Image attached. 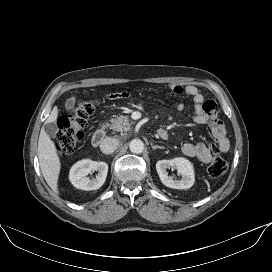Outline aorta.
Segmentation results:
<instances>
[{
    "label": "aorta",
    "mask_w": 272,
    "mask_h": 272,
    "mask_svg": "<svg viewBox=\"0 0 272 272\" xmlns=\"http://www.w3.org/2000/svg\"><path fill=\"white\" fill-rule=\"evenodd\" d=\"M132 153L141 154L144 150V143L140 139H133L129 144Z\"/></svg>",
    "instance_id": "1"
}]
</instances>
